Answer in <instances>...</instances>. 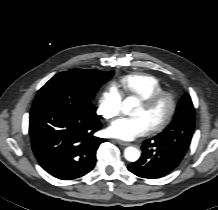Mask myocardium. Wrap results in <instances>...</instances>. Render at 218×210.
I'll use <instances>...</instances> for the list:
<instances>
[{"instance_id": "f54148a6", "label": "myocardium", "mask_w": 218, "mask_h": 210, "mask_svg": "<svg viewBox=\"0 0 218 210\" xmlns=\"http://www.w3.org/2000/svg\"><path fill=\"white\" fill-rule=\"evenodd\" d=\"M161 101H166L168 103V111L161 122L153 125L150 128V132L152 133H157L164 130L171 123L176 112V98L172 93L163 90L140 99L141 104L147 109L154 107Z\"/></svg>"}]
</instances>
